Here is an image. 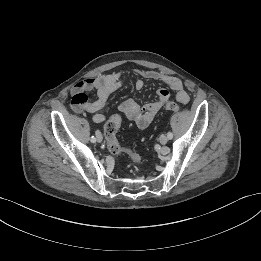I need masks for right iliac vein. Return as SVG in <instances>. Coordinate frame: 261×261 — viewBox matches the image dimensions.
Returning a JSON list of instances; mask_svg holds the SVG:
<instances>
[{
    "instance_id": "obj_1",
    "label": "right iliac vein",
    "mask_w": 261,
    "mask_h": 261,
    "mask_svg": "<svg viewBox=\"0 0 261 261\" xmlns=\"http://www.w3.org/2000/svg\"><path fill=\"white\" fill-rule=\"evenodd\" d=\"M96 140L99 143L102 142V140H103V136L99 131L96 133Z\"/></svg>"
}]
</instances>
